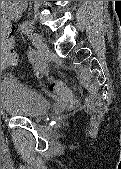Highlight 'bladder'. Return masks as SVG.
Listing matches in <instances>:
<instances>
[{
	"mask_svg": "<svg viewBox=\"0 0 121 169\" xmlns=\"http://www.w3.org/2000/svg\"><path fill=\"white\" fill-rule=\"evenodd\" d=\"M1 107L9 116L35 119L49 110L50 101L14 77L5 76L1 81Z\"/></svg>",
	"mask_w": 121,
	"mask_h": 169,
	"instance_id": "1",
	"label": "bladder"
}]
</instances>
